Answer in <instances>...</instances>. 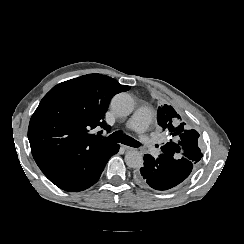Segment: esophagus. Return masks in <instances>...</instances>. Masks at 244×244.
Wrapping results in <instances>:
<instances>
[{"label":"esophagus","mask_w":244,"mask_h":244,"mask_svg":"<svg viewBox=\"0 0 244 244\" xmlns=\"http://www.w3.org/2000/svg\"><path fill=\"white\" fill-rule=\"evenodd\" d=\"M121 147L125 150V151H129L132 150L133 148L127 145H121Z\"/></svg>","instance_id":"1"}]
</instances>
